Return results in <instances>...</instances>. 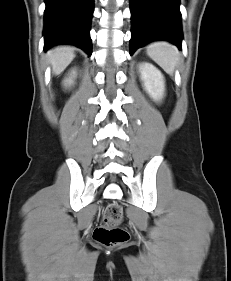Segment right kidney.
Returning <instances> with one entry per match:
<instances>
[{"label": "right kidney", "mask_w": 231, "mask_h": 281, "mask_svg": "<svg viewBox=\"0 0 231 281\" xmlns=\"http://www.w3.org/2000/svg\"><path fill=\"white\" fill-rule=\"evenodd\" d=\"M76 76V71L72 70L71 73H70V76L69 78H66L64 80V85L65 86H70L71 84H73V78Z\"/></svg>", "instance_id": "obj_1"}]
</instances>
